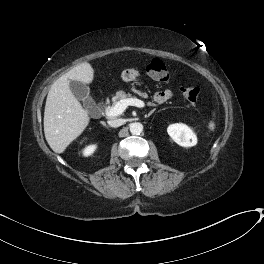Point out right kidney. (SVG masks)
Wrapping results in <instances>:
<instances>
[{"mask_svg": "<svg viewBox=\"0 0 264 264\" xmlns=\"http://www.w3.org/2000/svg\"><path fill=\"white\" fill-rule=\"evenodd\" d=\"M96 148H97L96 145H89V146H87V147H85L83 149V152L82 153H83L84 156H90V155H92L94 153V151L96 150Z\"/></svg>", "mask_w": 264, "mask_h": 264, "instance_id": "obj_1", "label": "right kidney"}]
</instances>
